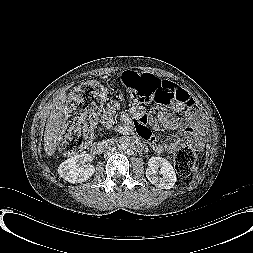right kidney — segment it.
Wrapping results in <instances>:
<instances>
[{"instance_id":"1","label":"right kidney","mask_w":253,"mask_h":253,"mask_svg":"<svg viewBox=\"0 0 253 253\" xmlns=\"http://www.w3.org/2000/svg\"><path fill=\"white\" fill-rule=\"evenodd\" d=\"M92 156L87 153L75 155L60 164L58 173L60 177L71 183L87 181L95 172V167L90 164Z\"/></svg>"}]
</instances>
